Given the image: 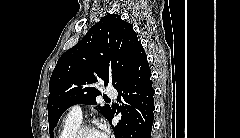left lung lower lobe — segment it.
Segmentation results:
<instances>
[{
  "label": "left lung lower lobe",
  "instance_id": "left-lung-lower-lobe-1",
  "mask_svg": "<svg viewBox=\"0 0 240 138\" xmlns=\"http://www.w3.org/2000/svg\"><path fill=\"white\" fill-rule=\"evenodd\" d=\"M147 55L139 51L124 80L116 88L121 120L112 126L116 138H150L154 119V88ZM113 113L107 120L111 122Z\"/></svg>",
  "mask_w": 240,
  "mask_h": 138
}]
</instances>
